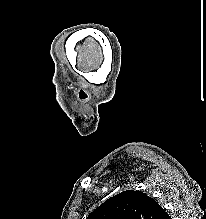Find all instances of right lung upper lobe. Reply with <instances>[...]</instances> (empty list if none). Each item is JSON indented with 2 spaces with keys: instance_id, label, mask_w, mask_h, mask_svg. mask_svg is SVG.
Segmentation results:
<instances>
[{
  "instance_id": "cb5924a9",
  "label": "right lung upper lobe",
  "mask_w": 206,
  "mask_h": 219,
  "mask_svg": "<svg viewBox=\"0 0 206 219\" xmlns=\"http://www.w3.org/2000/svg\"><path fill=\"white\" fill-rule=\"evenodd\" d=\"M87 219H171L167 212L143 192L127 190L110 197Z\"/></svg>"
}]
</instances>
